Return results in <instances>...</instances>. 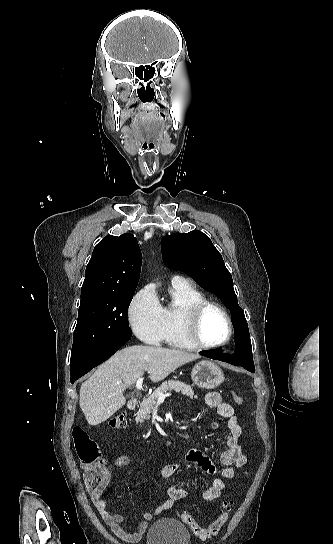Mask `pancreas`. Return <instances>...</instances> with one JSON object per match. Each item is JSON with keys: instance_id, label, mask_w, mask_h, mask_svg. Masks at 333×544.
I'll list each match as a JSON object with an SVG mask.
<instances>
[{"instance_id": "cf45deb5", "label": "pancreas", "mask_w": 333, "mask_h": 544, "mask_svg": "<svg viewBox=\"0 0 333 544\" xmlns=\"http://www.w3.org/2000/svg\"><path fill=\"white\" fill-rule=\"evenodd\" d=\"M172 390L175 392H181L183 395H186L191 399L197 398V396H194V391L190 385L176 380L165 381L153 392L152 395L145 398L141 402L139 411L137 412L135 418L136 423H142L144 420H149L150 413L152 412L159 395Z\"/></svg>"}]
</instances>
